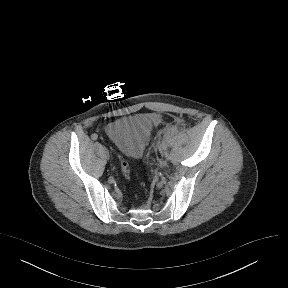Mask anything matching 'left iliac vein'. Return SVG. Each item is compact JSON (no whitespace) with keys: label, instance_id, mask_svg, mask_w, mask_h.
Instances as JSON below:
<instances>
[{"label":"left iliac vein","instance_id":"4c4485c4","mask_svg":"<svg viewBox=\"0 0 288 288\" xmlns=\"http://www.w3.org/2000/svg\"><path fill=\"white\" fill-rule=\"evenodd\" d=\"M161 154H162V156H163V157H165V156H166L165 147H163V148H162Z\"/></svg>","mask_w":288,"mask_h":288}]
</instances>
